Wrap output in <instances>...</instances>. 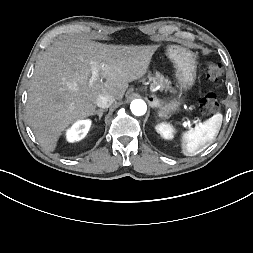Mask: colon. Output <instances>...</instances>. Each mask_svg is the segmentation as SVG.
<instances>
[{"instance_id":"1","label":"colon","mask_w":253,"mask_h":253,"mask_svg":"<svg viewBox=\"0 0 253 253\" xmlns=\"http://www.w3.org/2000/svg\"><path fill=\"white\" fill-rule=\"evenodd\" d=\"M207 77L211 80L218 79L222 74V67L216 62H208L206 65ZM199 108L204 113H213L218 108V102L215 93H206L199 101Z\"/></svg>"}]
</instances>
